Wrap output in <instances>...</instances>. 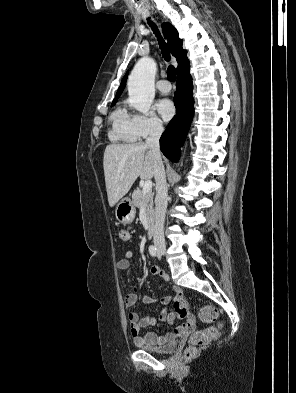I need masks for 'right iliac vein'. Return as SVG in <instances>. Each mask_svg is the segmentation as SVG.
<instances>
[{
  "mask_svg": "<svg viewBox=\"0 0 296 393\" xmlns=\"http://www.w3.org/2000/svg\"><path fill=\"white\" fill-rule=\"evenodd\" d=\"M158 253L160 255H165L166 254V248L165 247H158Z\"/></svg>",
  "mask_w": 296,
  "mask_h": 393,
  "instance_id": "obj_1",
  "label": "right iliac vein"
}]
</instances>
